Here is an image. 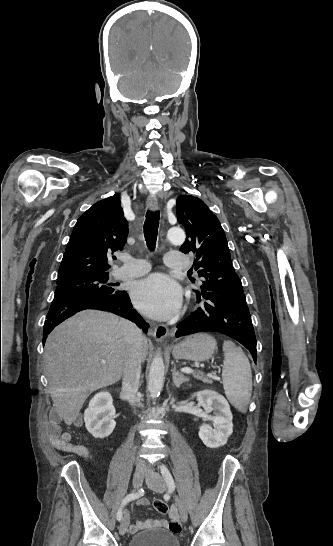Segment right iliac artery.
<instances>
[{
  "label": "right iliac artery",
  "mask_w": 333,
  "mask_h": 546,
  "mask_svg": "<svg viewBox=\"0 0 333 546\" xmlns=\"http://www.w3.org/2000/svg\"><path fill=\"white\" fill-rule=\"evenodd\" d=\"M144 494V491L143 490H140L136 493H131V494H128L122 501V504H121V508L118 510L117 512V520L120 521L122 519V508L130 501L132 500H135L137 498H139L140 496H142Z\"/></svg>",
  "instance_id": "obj_1"
}]
</instances>
